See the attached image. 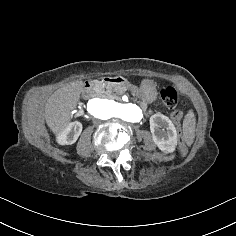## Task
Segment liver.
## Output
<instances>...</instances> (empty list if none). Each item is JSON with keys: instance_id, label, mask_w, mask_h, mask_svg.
Here are the masks:
<instances>
[{"instance_id": "obj_1", "label": "liver", "mask_w": 236, "mask_h": 236, "mask_svg": "<svg viewBox=\"0 0 236 236\" xmlns=\"http://www.w3.org/2000/svg\"><path fill=\"white\" fill-rule=\"evenodd\" d=\"M83 91V82L76 81L57 89L49 97L45 105V120L53 133L58 134L68 125L70 112L77 105Z\"/></svg>"}]
</instances>
